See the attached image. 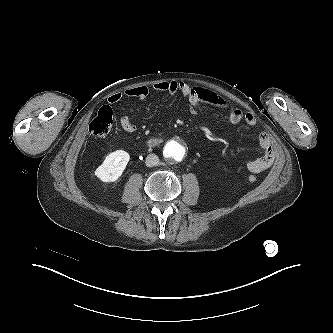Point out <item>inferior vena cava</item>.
Segmentation results:
<instances>
[{
  "mask_svg": "<svg viewBox=\"0 0 333 333\" xmlns=\"http://www.w3.org/2000/svg\"><path fill=\"white\" fill-rule=\"evenodd\" d=\"M145 163H146V166H148V167L156 166L159 163V158L155 154H149L146 157V162Z\"/></svg>",
  "mask_w": 333,
  "mask_h": 333,
  "instance_id": "inferior-vena-cava-1",
  "label": "inferior vena cava"
}]
</instances>
